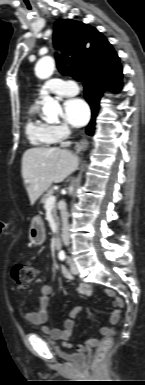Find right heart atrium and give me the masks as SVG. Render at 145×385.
Returning a JSON list of instances; mask_svg holds the SVG:
<instances>
[{"label": "right heart atrium", "mask_w": 145, "mask_h": 385, "mask_svg": "<svg viewBox=\"0 0 145 385\" xmlns=\"http://www.w3.org/2000/svg\"><path fill=\"white\" fill-rule=\"evenodd\" d=\"M52 132L56 141L62 140L69 133V128L66 124H57L52 126Z\"/></svg>", "instance_id": "obj_1"}]
</instances>
